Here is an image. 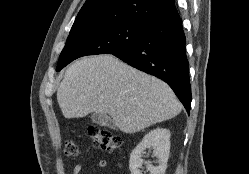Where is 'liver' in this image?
I'll list each match as a JSON object with an SVG mask.
<instances>
[{
    "label": "liver",
    "instance_id": "6515ba94",
    "mask_svg": "<svg viewBox=\"0 0 249 174\" xmlns=\"http://www.w3.org/2000/svg\"><path fill=\"white\" fill-rule=\"evenodd\" d=\"M57 101L67 119L109 114L124 133L171 119L182 109L165 82L108 54L72 63L58 88Z\"/></svg>",
    "mask_w": 249,
    "mask_h": 174
}]
</instances>
